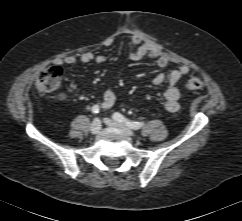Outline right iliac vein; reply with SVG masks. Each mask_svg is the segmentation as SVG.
<instances>
[{"mask_svg":"<svg viewBox=\"0 0 242 221\" xmlns=\"http://www.w3.org/2000/svg\"><path fill=\"white\" fill-rule=\"evenodd\" d=\"M100 129H101V122L99 119H95L90 126V132L92 134H97L99 133Z\"/></svg>","mask_w":242,"mask_h":221,"instance_id":"63e3f726","label":"right iliac vein"}]
</instances>
